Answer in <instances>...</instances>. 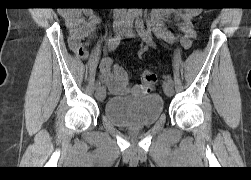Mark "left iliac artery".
<instances>
[{
    "label": "left iliac artery",
    "instance_id": "1",
    "mask_svg": "<svg viewBox=\"0 0 251 180\" xmlns=\"http://www.w3.org/2000/svg\"><path fill=\"white\" fill-rule=\"evenodd\" d=\"M135 25H136V29H137V32L140 35V37L146 43H148L151 46H153L154 42H153L152 37H151V30H150V28L148 27L147 29H145L144 23H143V21L139 17H137ZM165 78L167 79V81L169 83L173 84V80H172V77L170 75H167Z\"/></svg>",
    "mask_w": 251,
    "mask_h": 180
}]
</instances>
